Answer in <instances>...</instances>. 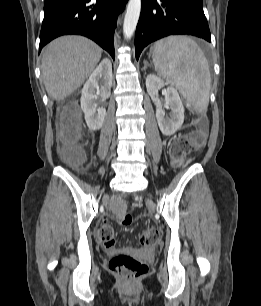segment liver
Returning a JSON list of instances; mask_svg holds the SVG:
<instances>
[{
  "instance_id": "liver-1",
  "label": "liver",
  "mask_w": 261,
  "mask_h": 306,
  "mask_svg": "<svg viewBox=\"0 0 261 306\" xmlns=\"http://www.w3.org/2000/svg\"><path fill=\"white\" fill-rule=\"evenodd\" d=\"M102 49L81 36H63L49 43L42 57L48 96L61 101L77 90L101 59Z\"/></svg>"
}]
</instances>
